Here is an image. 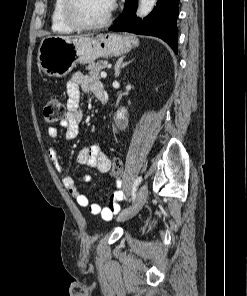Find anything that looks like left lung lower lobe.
<instances>
[{"mask_svg": "<svg viewBox=\"0 0 247 296\" xmlns=\"http://www.w3.org/2000/svg\"><path fill=\"white\" fill-rule=\"evenodd\" d=\"M137 3L138 0H126L123 12L109 30L159 37L177 54L179 0H158L156 7L143 21L136 17Z\"/></svg>", "mask_w": 247, "mask_h": 296, "instance_id": "1", "label": "left lung lower lobe"}]
</instances>
